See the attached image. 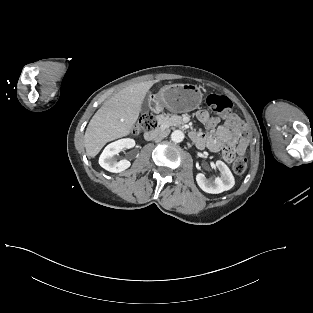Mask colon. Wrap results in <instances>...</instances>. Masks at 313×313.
<instances>
[{
    "label": "colon",
    "mask_w": 313,
    "mask_h": 313,
    "mask_svg": "<svg viewBox=\"0 0 313 313\" xmlns=\"http://www.w3.org/2000/svg\"><path fill=\"white\" fill-rule=\"evenodd\" d=\"M208 107L220 114L226 115L232 108V102L226 96L218 94H210L207 97ZM157 118L152 112H146L141 115L140 119L134 127V133L149 132L156 128ZM223 157L226 161L232 162L233 171L236 174H242L247 169V159L244 156H236L234 151L226 148L223 151Z\"/></svg>",
    "instance_id": "colon-1"
}]
</instances>
